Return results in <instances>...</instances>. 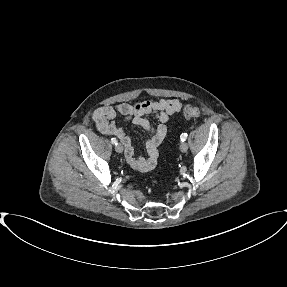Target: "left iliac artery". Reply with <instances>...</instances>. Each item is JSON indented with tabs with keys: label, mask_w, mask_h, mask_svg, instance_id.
<instances>
[{
	"label": "left iliac artery",
	"mask_w": 287,
	"mask_h": 287,
	"mask_svg": "<svg viewBox=\"0 0 287 287\" xmlns=\"http://www.w3.org/2000/svg\"><path fill=\"white\" fill-rule=\"evenodd\" d=\"M186 138H187V134L186 133L181 134L180 139H181L182 142H184L186 140Z\"/></svg>",
	"instance_id": "left-iliac-artery-1"
}]
</instances>
